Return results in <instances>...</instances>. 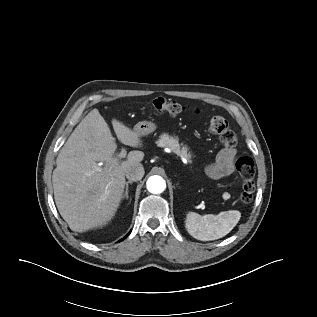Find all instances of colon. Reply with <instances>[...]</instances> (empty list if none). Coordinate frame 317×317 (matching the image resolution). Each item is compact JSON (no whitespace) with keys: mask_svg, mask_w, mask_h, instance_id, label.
I'll return each instance as SVG.
<instances>
[{"mask_svg":"<svg viewBox=\"0 0 317 317\" xmlns=\"http://www.w3.org/2000/svg\"><path fill=\"white\" fill-rule=\"evenodd\" d=\"M153 108L161 114L175 116L180 114L184 108L180 103L165 98L153 100ZM209 131L217 135L220 143L225 148H233L237 143L236 134L229 128L228 122L222 116L214 115L208 121ZM236 170L243 179V187L240 199L243 203L251 202L255 192V164L252 158L243 156L236 161Z\"/></svg>","mask_w":317,"mask_h":317,"instance_id":"5ec220e1","label":"colon"}]
</instances>
